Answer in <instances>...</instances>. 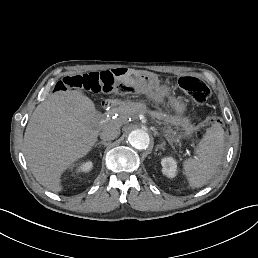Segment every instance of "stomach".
Masks as SVG:
<instances>
[{
    "label": "stomach",
    "mask_w": 258,
    "mask_h": 258,
    "mask_svg": "<svg viewBox=\"0 0 258 258\" xmlns=\"http://www.w3.org/2000/svg\"><path fill=\"white\" fill-rule=\"evenodd\" d=\"M136 76L141 78V79H144V80L149 79L148 75H145V74H142V73H138ZM162 90L168 91L167 88H165V87H163ZM170 104H171V106L175 109V111L178 114H182L183 113V111L185 109V106L182 103H180L179 100L171 98L170 99ZM187 125H188L187 122L183 119L181 126L187 130ZM188 134H189V132L186 131L184 134H181V135L177 136V138L175 140H177V139H179L181 137H187Z\"/></svg>",
    "instance_id": "obj_1"
}]
</instances>
